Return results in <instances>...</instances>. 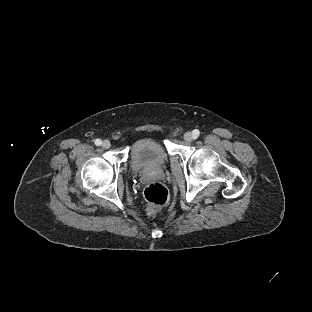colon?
I'll return each mask as SVG.
<instances>
[{
	"label": "colon",
	"instance_id": "5ec220e1",
	"mask_svg": "<svg viewBox=\"0 0 312 312\" xmlns=\"http://www.w3.org/2000/svg\"><path fill=\"white\" fill-rule=\"evenodd\" d=\"M144 197L148 201L150 212H156L168 200L167 189L159 183H151L144 189Z\"/></svg>",
	"mask_w": 312,
	"mask_h": 312
}]
</instances>
